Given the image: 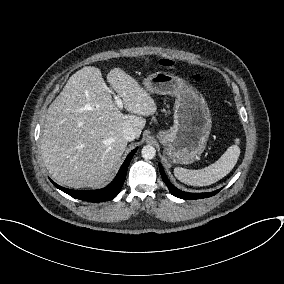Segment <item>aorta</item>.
Segmentation results:
<instances>
[{"mask_svg":"<svg viewBox=\"0 0 284 284\" xmlns=\"http://www.w3.org/2000/svg\"><path fill=\"white\" fill-rule=\"evenodd\" d=\"M141 154L145 160H151L156 155V149L151 145H145L142 148Z\"/></svg>","mask_w":284,"mask_h":284,"instance_id":"762f6f07","label":"aorta"}]
</instances>
